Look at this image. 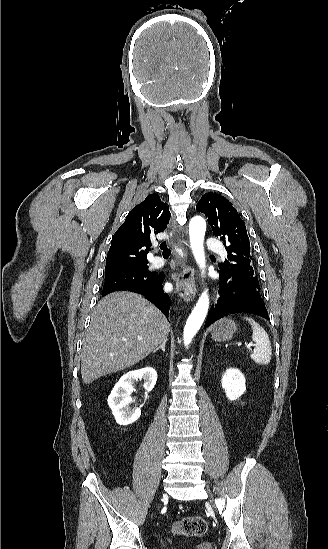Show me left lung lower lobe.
Listing matches in <instances>:
<instances>
[{"instance_id":"obj_1","label":"left lung lower lobe","mask_w":328,"mask_h":549,"mask_svg":"<svg viewBox=\"0 0 328 549\" xmlns=\"http://www.w3.org/2000/svg\"><path fill=\"white\" fill-rule=\"evenodd\" d=\"M234 313H251L269 318L258 280L220 273L219 297L210 308L205 326Z\"/></svg>"}]
</instances>
